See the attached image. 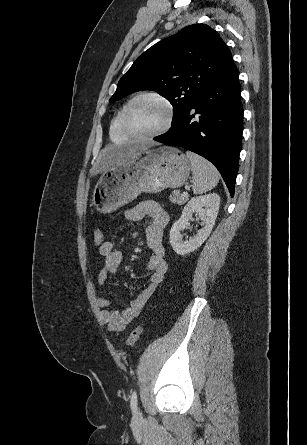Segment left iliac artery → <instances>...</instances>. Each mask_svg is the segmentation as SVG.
Listing matches in <instances>:
<instances>
[{
  "label": "left iliac artery",
  "mask_w": 307,
  "mask_h": 445,
  "mask_svg": "<svg viewBox=\"0 0 307 445\" xmlns=\"http://www.w3.org/2000/svg\"><path fill=\"white\" fill-rule=\"evenodd\" d=\"M130 406H131L132 412L136 413L137 412V393H136V391H134L132 393L131 400H130Z\"/></svg>",
  "instance_id": "obj_1"
}]
</instances>
